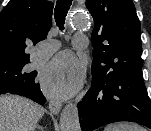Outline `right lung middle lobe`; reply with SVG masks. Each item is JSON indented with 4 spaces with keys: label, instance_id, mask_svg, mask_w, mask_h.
I'll use <instances>...</instances> for the list:
<instances>
[{
    "label": "right lung middle lobe",
    "instance_id": "obj_1",
    "mask_svg": "<svg viewBox=\"0 0 151 131\" xmlns=\"http://www.w3.org/2000/svg\"><path fill=\"white\" fill-rule=\"evenodd\" d=\"M29 62V60L21 58H0V81L3 80L7 85L17 84L23 79L35 76L33 73H26L23 70L24 65Z\"/></svg>",
    "mask_w": 151,
    "mask_h": 131
}]
</instances>
